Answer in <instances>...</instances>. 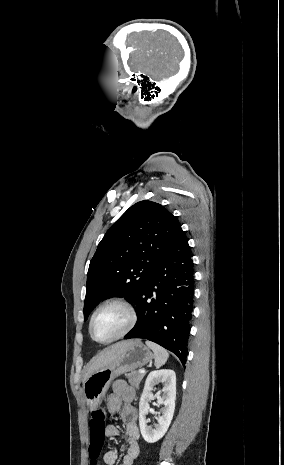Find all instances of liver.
<instances>
[{
  "instance_id": "6515ba94",
  "label": "liver",
  "mask_w": 284,
  "mask_h": 465,
  "mask_svg": "<svg viewBox=\"0 0 284 465\" xmlns=\"http://www.w3.org/2000/svg\"><path fill=\"white\" fill-rule=\"evenodd\" d=\"M128 343L130 341H121V343H116V345H111L109 349H106L104 353H100L99 357H95V359H92L90 361L91 365L87 367L86 373L83 377V383L88 379L89 375L91 373H94V371H98V369H102V367H106V365H109V363H112L120 353H123L125 351Z\"/></svg>"
}]
</instances>
